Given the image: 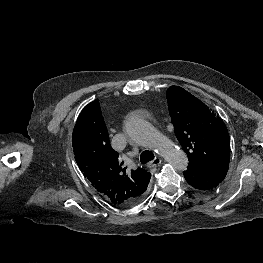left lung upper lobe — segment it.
<instances>
[{"mask_svg": "<svg viewBox=\"0 0 263 263\" xmlns=\"http://www.w3.org/2000/svg\"><path fill=\"white\" fill-rule=\"evenodd\" d=\"M175 134L186 152L188 166H229L230 140L223 120L199 99L178 86L166 92Z\"/></svg>", "mask_w": 263, "mask_h": 263, "instance_id": "obj_1", "label": "left lung upper lobe"}]
</instances>
